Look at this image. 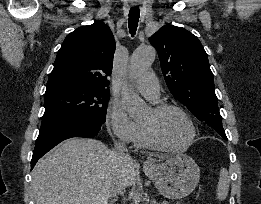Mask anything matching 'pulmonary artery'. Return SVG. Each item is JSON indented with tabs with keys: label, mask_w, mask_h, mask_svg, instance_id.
<instances>
[{
	"label": "pulmonary artery",
	"mask_w": 261,
	"mask_h": 204,
	"mask_svg": "<svg viewBox=\"0 0 261 204\" xmlns=\"http://www.w3.org/2000/svg\"><path fill=\"white\" fill-rule=\"evenodd\" d=\"M135 86L147 99L156 101L159 98V84L153 73L147 72L140 76Z\"/></svg>",
	"instance_id": "1"
}]
</instances>
